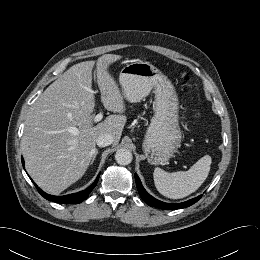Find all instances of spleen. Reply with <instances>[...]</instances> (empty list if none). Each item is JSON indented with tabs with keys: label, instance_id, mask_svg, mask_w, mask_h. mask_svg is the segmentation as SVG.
Segmentation results:
<instances>
[{
	"label": "spleen",
	"instance_id": "obj_1",
	"mask_svg": "<svg viewBox=\"0 0 260 260\" xmlns=\"http://www.w3.org/2000/svg\"><path fill=\"white\" fill-rule=\"evenodd\" d=\"M212 159L205 155L188 171L167 173L155 168L153 177L157 190L170 199H181L194 193L206 180Z\"/></svg>",
	"mask_w": 260,
	"mask_h": 260
}]
</instances>
